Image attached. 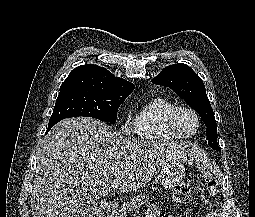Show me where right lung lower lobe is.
<instances>
[{
  "instance_id": "right-lung-lower-lobe-1",
  "label": "right lung lower lobe",
  "mask_w": 255,
  "mask_h": 217,
  "mask_svg": "<svg viewBox=\"0 0 255 217\" xmlns=\"http://www.w3.org/2000/svg\"><path fill=\"white\" fill-rule=\"evenodd\" d=\"M58 123V122H57ZM56 123H52V124H48V129L46 131V134L48 133V131L55 125Z\"/></svg>"
}]
</instances>
